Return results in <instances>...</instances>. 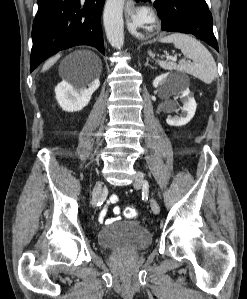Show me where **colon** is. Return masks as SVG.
<instances>
[{"label":"colon","mask_w":247,"mask_h":299,"mask_svg":"<svg viewBox=\"0 0 247 299\" xmlns=\"http://www.w3.org/2000/svg\"><path fill=\"white\" fill-rule=\"evenodd\" d=\"M138 215L137 210L134 207H126L124 209V216L126 218H135Z\"/></svg>","instance_id":"obj_1"}]
</instances>
